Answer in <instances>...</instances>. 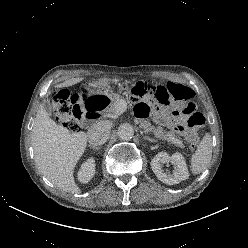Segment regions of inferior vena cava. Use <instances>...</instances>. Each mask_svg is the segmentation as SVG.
Returning <instances> with one entry per match:
<instances>
[{"mask_svg": "<svg viewBox=\"0 0 248 248\" xmlns=\"http://www.w3.org/2000/svg\"><path fill=\"white\" fill-rule=\"evenodd\" d=\"M111 125L107 121H101L94 124L87 133L88 142L93 146L103 145L110 134Z\"/></svg>", "mask_w": 248, "mask_h": 248, "instance_id": "1", "label": "inferior vena cava"}]
</instances>
